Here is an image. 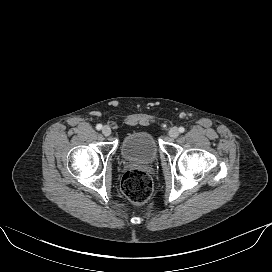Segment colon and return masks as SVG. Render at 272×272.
Returning <instances> with one entry per match:
<instances>
[{"label":"colon","instance_id":"1","mask_svg":"<svg viewBox=\"0 0 272 272\" xmlns=\"http://www.w3.org/2000/svg\"><path fill=\"white\" fill-rule=\"evenodd\" d=\"M121 189L129 201L141 204L151 196L153 184L145 172L131 169L123 175Z\"/></svg>","mask_w":272,"mask_h":272}]
</instances>
